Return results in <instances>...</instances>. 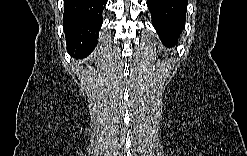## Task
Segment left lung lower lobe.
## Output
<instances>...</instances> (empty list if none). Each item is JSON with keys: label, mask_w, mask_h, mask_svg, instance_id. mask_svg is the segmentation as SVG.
<instances>
[{"label": "left lung lower lobe", "mask_w": 247, "mask_h": 156, "mask_svg": "<svg viewBox=\"0 0 247 156\" xmlns=\"http://www.w3.org/2000/svg\"><path fill=\"white\" fill-rule=\"evenodd\" d=\"M152 23L164 46H174L185 27L187 0H147Z\"/></svg>", "instance_id": "obj_1"}]
</instances>
